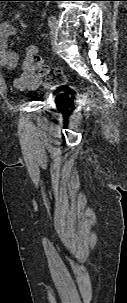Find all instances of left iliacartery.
Returning a JSON list of instances; mask_svg holds the SVG:
<instances>
[{
	"mask_svg": "<svg viewBox=\"0 0 127 303\" xmlns=\"http://www.w3.org/2000/svg\"><path fill=\"white\" fill-rule=\"evenodd\" d=\"M56 24V17L54 15H51L48 19V25L50 28H52Z\"/></svg>",
	"mask_w": 127,
	"mask_h": 303,
	"instance_id": "1",
	"label": "left iliac artery"
}]
</instances>
